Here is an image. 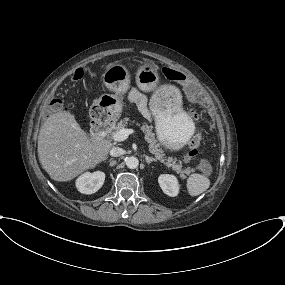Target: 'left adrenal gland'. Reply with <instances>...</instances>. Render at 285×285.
Here are the masks:
<instances>
[{"label":"left adrenal gland","instance_id":"obj_1","mask_svg":"<svg viewBox=\"0 0 285 285\" xmlns=\"http://www.w3.org/2000/svg\"><path fill=\"white\" fill-rule=\"evenodd\" d=\"M145 160H146V162H147L148 165H149L150 163L156 161V159H154V158H152V157H149V156H145Z\"/></svg>","mask_w":285,"mask_h":285}]
</instances>
